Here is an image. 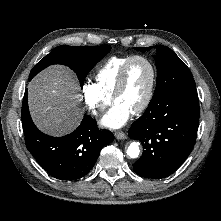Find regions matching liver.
Instances as JSON below:
<instances>
[{"mask_svg": "<svg viewBox=\"0 0 221 221\" xmlns=\"http://www.w3.org/2000/svg\"><path fill=\"white\" fill-rule=\"evenodd\" d=\"M28 103L36 126L52 136L69 134L82 119L75 76L61 65L44 69L30 82Z\"/></svg>", "mask_w": 221, "mask_h": 221, "instance_id": "6515ba94", "label": "liver"}]
</instances>
